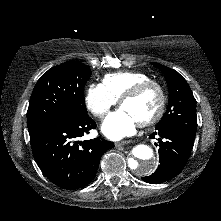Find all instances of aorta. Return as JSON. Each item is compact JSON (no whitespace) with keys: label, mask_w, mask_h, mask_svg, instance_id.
<instances>
[{"label":"aorta","mask_w":221,"mask_h":221,"mask_svg":"<svg viewBox=\"0 0 221 221\" xmlns=\"http://www.w3.org/2000/svg\"><path fill=\"white\" fill-rule=\"evenodd\" d=\"M130 169L138 175H147L155 171L157 160L153 149L144 144L135 146L132 149V157L129 158Z\"/></svg>","instance_id":"obj_1"}]
</instances>
